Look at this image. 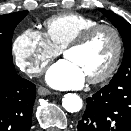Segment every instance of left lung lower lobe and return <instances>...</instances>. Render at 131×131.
Here are the masks:
<instances>
[{"label": "left lung lower lobe", "mask_w": 131, "mask_h": 131, "mask_svg": "<svg viewBox=\"0 0 131 131\" xmlns=\"http://www.w3.org/2000/svg\"><path fill=\"white\" fill-rule=\"evenodd\" d=\"M86 102L78 131H131V79L109 83Z\"/></svg>", "instance_id": "1"}]
</instances>
